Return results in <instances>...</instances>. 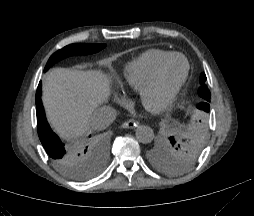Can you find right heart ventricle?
Masks as SVG:
<instances>
[{
	"instance_id": "1",
	"label": "right heart ventricle",
	"mask_w": 254,
	"mask_h": 216,
	"mask_svg": "<svg viewBox=\"0 0 254 216\" xmlns=\"http://www.w3.org/2000/svg\"><path fill=\"white\" fill-rule=\"evenodd\" d=\"M172 53L151 49L141 53L124 68L126 88L132 92L141 91L150 81L156 67Z\"/></svg>"
}]
</instances>
